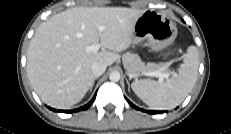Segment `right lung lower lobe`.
Wrapping results in <instances>:
<instances>
[{
	"label": "right lung lower lobe",
	"instance_id": "1",
	"mask_svg": "<svg viewBox=\"0 0 231 134\" xmlns=\"http://www.w3.org/2000/svg\"><path fill=\"white\" fill-rule=\"evenodd\" d=\"M95 97H96V95H94L93 99H92L88 104H86V105L83 106V107L77 108V109H75V110H58V112L73 113V112H77V111H81V110H86V109L89 108L90 105L93 103ZM48 108H49V107H48ZM50 109L54 111L53 108H50Z\"/></svg>",
	"mask_w": 231,
	"mask_h": 134
}]
</instances>
